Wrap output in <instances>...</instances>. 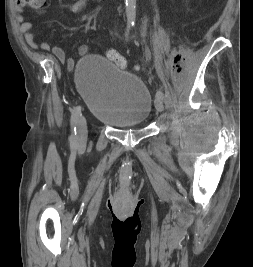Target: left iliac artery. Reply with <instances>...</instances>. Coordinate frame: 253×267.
I'll list each match as a JSON object with an SVG mask.
<instances>
[{
	"instance_id": "1",
	"label": "left iliac artery",
	"mask_w": 253,
	"mask_h": 267,
	"mask_svg": "<svg viewBox=\"0 0 253 267\" xmlns=\"http://www.w3.org/2000/svg\"><path fill=\"white\" fill-rule=\"evenodd\" d=\"M159 96H162V97L164 98V94H163V92L160 91V90H158V91L156 92L155 97L158 98Z\"/></svg>"
}]
</instances>
